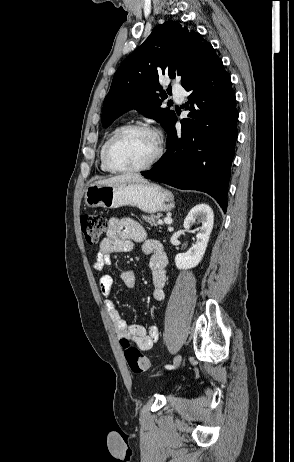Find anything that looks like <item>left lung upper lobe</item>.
Returning <instances> with one entry per match:
<instances>
[{
    "mask_svg": "<svg viewBox=\"0 0 294 462\" xmlns=\"http://www.w3.org/2000/svg\"><path fill=\"white\" fill-rule=\"evenodd\" d=\"M217 58L211 44L199 33L174 21L158 25L117 69L103 104V127L135 108L156 119L167 130L175 113L160 107L167 95L159 84V77L166 74L171 79L179 78L185 86Z\"/></svg>",
    "mask_w": 294,
    "mask_h": 462,
    "instance_id": "5c2ea615",
    "label": "left lung upper lobe"
}]
</instances>
